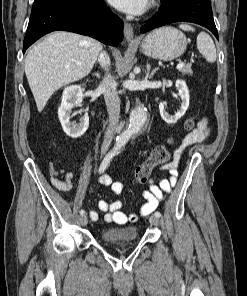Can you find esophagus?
Returning <instances> with one entry per match:
<instances>
[{
	"label": "esophagus",
	"instance_id": "1",
	"mask_svg": "<svg viewBox=\"0 0 247 296\" xmlns=\"http://www.w3.org/2000/svg\"><path fill=\"white\" fill-rule=\"evenodd\" d=\"M124 36L126 40L130 43H135L137 41L134 37L133 27L130 23H124Z\"/></svg>",
	"mask_w": 247,
	"mask_h": 296
}]
</instances>
